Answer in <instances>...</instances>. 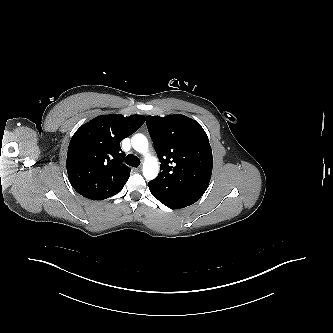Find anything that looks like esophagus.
<instances>
[{"instance_id":"esophagus-1","label":"esophagus","mask_w":333,"mask_h":333,"mask_svg":"<svg viewBox=\"0 0 333 333\" xmlns=\"http://www.w3.org/2000/svg\"><path fill=\"white\" fill-rule=\"evenodd\" d=\"M142 168L141 167H138V168H135L134 171L135 172H141Z\"/></svg>"}]
</instances>
